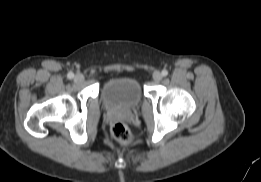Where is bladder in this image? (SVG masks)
I'll return each instance as SVG.
<instances>
[{
  "label": "bladder",
  "mask_w": 261,
  "mask_h": 182,
  "mask_svg": "<svg viewBox=\"0 0 261 182\" xmlns=\"http://www.w3.org/2000/svg\"><path fill=\"white\" fill-rule=\"evenodd\" d=\"M100 97L103 105L112 111L133 110L143 99L139 83L130 77L107 80L101 87Z\"/></svg>",
  "instance_id": "obj_1"
}]
</instances>
